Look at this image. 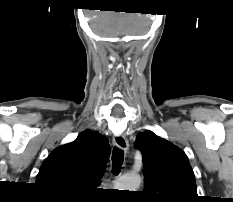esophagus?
Here are the masks:
<instances>
[{
	"instance_id": "1",
	"label": "esophagus",
	"mask_w": 233,
	"mask_h": 202,
	"mask_svg": "<svg viewBox=\"0 0 233 202\" xmlns=\"http://www.w3.org/2000/svg\"><path fill=\"white\" fill-rule=\"evenodd\" d=\"M113 142L114 144L119 148L122 149L124 151L128 150L129 144L127 139L125 138V136L123 135H116L113 138Z\"/></svg>"
}]
</instances>
